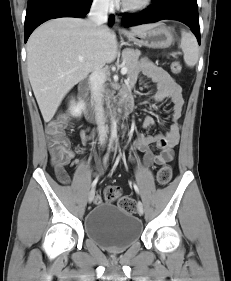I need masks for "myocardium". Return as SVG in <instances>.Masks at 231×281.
<instances>
[{
	"instance_id": "f54148a6",
	"label": "myocardium",
	"mask_w": 231,
	"mask_h": 281,
	"mask_svg": "<svg viewBox=\"0 0 231 281\" xmlns=\"http://www.w3.org/2000/svg\"><path fill=\"white\" fill-rule=\"evenodd\" d=\"M153 0H140L137 2H127L123 1L122 8L127 12H142L146 9H148L152 5Z\"/></svg>"
}]
</instances>
